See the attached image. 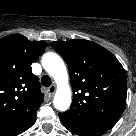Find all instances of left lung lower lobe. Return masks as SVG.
Here are the masks:
<instances>
[{
    "mask_svg": "<svg viewBox=\"0 0 136 136\" xmlns=\"http://www.w3.org/2000/svg\"><path fill=\"white\" fill-rule=\"evenodd\" d=\"M60 120L68 130L79 136H99L116 123L108 120H72L62 117Z\"/></svg>",
    "mask_w": 136,
    "mask_h": 136,
    "instance_id": "0a47b994",
    "label": "left lung lower lobe"
}]
</instances>
